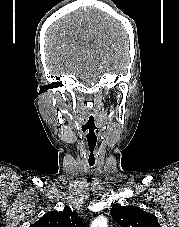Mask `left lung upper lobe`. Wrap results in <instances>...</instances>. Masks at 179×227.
Masks as SVG:
<instances>
[{"label":"left lung upper lobe","mask_w":179,"mask_h":227,"mask_svg":"<svg viewBox=\"0 0 179 227\" xmlns=\"http://www.w3.org/2000/svg\"><path fill=\"white\" fill-rule=\"evenodd\" d=\"M112 216L120 227H161L156 216L135 206H112Z\"/></svg>","instance_id":"1"}]
</instances>
